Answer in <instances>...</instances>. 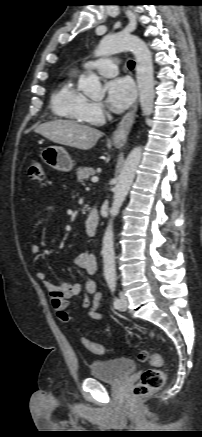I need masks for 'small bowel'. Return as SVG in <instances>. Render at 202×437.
<instances>
[{"instance_id": "c3829d8e", "label": "small bowel", "mask_w": 202, "mask_h": 437, "mask_svg": "<svg viewBox=\"0 0 202 437\" xmlns=\"http://www.w3.org/2000/svg\"><path fill=\"white\" fill-rule=\"evenodd\" d=\"M57 209L58 205L56 203L47 204L34 214L33 219L37 220ZM31 251L33 254H38L40 252V247L37 244H33L31 246ZM74 265L83 270L90 278H88L84 283L62 281L58 284H54L46 279V275L42 271H36L35 278L40 281L43 287L48 291L52 307L61 322H71L70 299L77 297L82 292L84 293L82 307L88 310L89 317L92 320L100 322L103 319V315L98 309L101 304L102 293L97 291V283L92 278L98 269L97 259L95 255L90 252H82L75 257Z\"/></svg>"}]
</instances>
